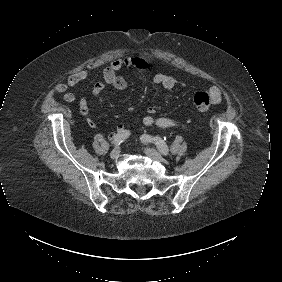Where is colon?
I'll use <instances>...</instances> for the list:
<instances>
[{"label": "colon", "mask_w": 282, "mask_h": 282, "mask_svg": "<svg viewBox=\"0 0 282 282\" xmlns=\"http://www.w3.org/2000/svg\"><path fill=\"white\" fill-rule=\"evenodd\" d=\"M193 102L200 112L207 111L214 104V100L206 92H197L193 97Z\"/></svg>", "instance_id": "5ec220e1"}]
</instances>
